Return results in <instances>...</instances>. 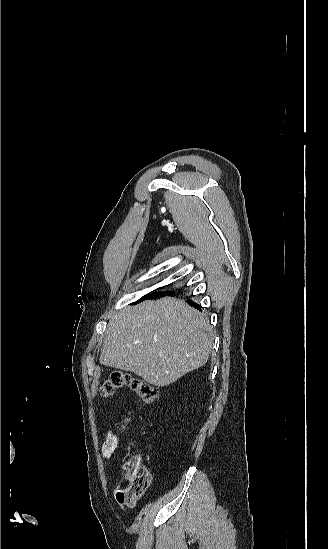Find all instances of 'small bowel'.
I'll use <instances>...</instances> for the list:
<instances>
[{"label": "small bowel", "mask_w": 328, "mask_h": 549, "mask_svg": "<svg viewBox=\"0 0 328 549\" xmlns=\"http://www.w3.org/2000/svg\"><path fill=\"white\" fill-rule=\"evenodd\" d=\"M120 442V438L119 436L114 432V430H111L108 432V434L106 435L105 437V440L102 444V447H101V452H102V455H103V458L106 460V461H110L111 458H112V455L114 453V451L116 450L118 444ZM142 461V458L141 457H138V462H141ZM121 488V482L118 481L116 486H115V490H114V496H115V499H116V502L117 504L119 505L120 508L124 509L125 506H124V502L121 501L119 498H118V490Z\"/></svg>", "instance_id": "small-bowel-1"}]
</instances>
